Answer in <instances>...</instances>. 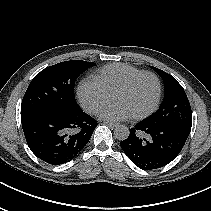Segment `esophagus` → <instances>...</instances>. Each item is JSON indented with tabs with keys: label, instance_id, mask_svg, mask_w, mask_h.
<instances>
[{
	"label": "esophagus",
	"instance_id": "34e87169",
	"mask_svg": "<svg viewBox=\"0 0 211 211\" xmlns=\"http://www.w3.org/2000/svg\"><path fill=\"white\" fill-rule=\"evenodd\" d=\"M104 124H106L107 126H109V127H116L117 126V124L116 123H113V122H104Z\"/></svg>",
	"mask_w": 211,
	"mask_h": 211
}]
</instances>
